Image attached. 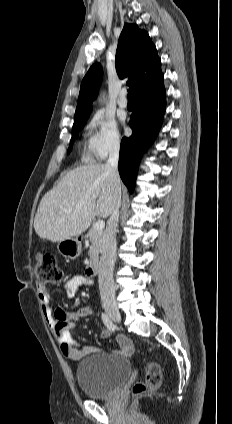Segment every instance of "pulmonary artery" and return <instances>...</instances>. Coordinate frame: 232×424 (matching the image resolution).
I'll list each match as a JSON object with an SVG mask.
<instances>
[{"instance_id": "pulmonary-artery-1", "label": "pulmonary artery", "mask_w": 232, "mask_h": 424, "mask_svg": "<svg viewBox=\"0 0 232 424\" xmlns=\"http://www.w3.org/2000/svg\"><path fill=\"white\" fill-rule=\"evenodd\" d=\"M118 105L121 108H126L128 106V101H127V98H126V91L125 90H122L121 93H120V96L118 98Z\"/></svg>"}]
</instances>
